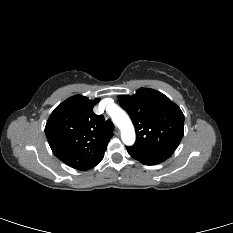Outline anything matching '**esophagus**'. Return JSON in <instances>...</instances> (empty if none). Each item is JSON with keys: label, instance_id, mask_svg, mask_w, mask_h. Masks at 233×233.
I'll return each instance as SVG.
<instances>
[{"label": "esophagus", "instance_id": "esophagus-1", "mask_svg": "<svg viewBox=\"0 0 233 233\" xmlns=\"http://www.w3.org/2000/svg\"><path fill=\"white\" fill-rule=\"evenodd\" d=\"M114 134H115L116 136H119L120 130H119L118 128H116L115 131H114Z\"/></svg>", "mask_w": 233, "mask_h": 233}]
</instances>
